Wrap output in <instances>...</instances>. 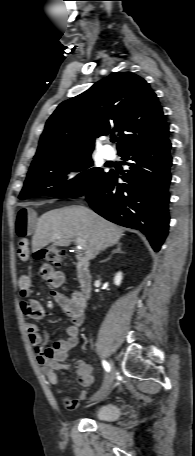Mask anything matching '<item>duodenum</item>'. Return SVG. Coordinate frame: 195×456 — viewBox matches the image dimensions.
<instances>
[{
	"mask_svg": "<svg viewBox=\"0 0 195 456\" xmlns=\"http://www.w3.org/2000/svg\"><path fill=\"white\" fill-rule=\"evenodd\" d=\"M76 277L80 286L81 294L87 300L92 291V277L89 271V263L85 257L79 256L76 262Z\"/></svg>",
	"mask_w": 195,
	"mask_h": 456,
	"instance_id": "1",
	"label": "duodenum"
}]
</instances>
